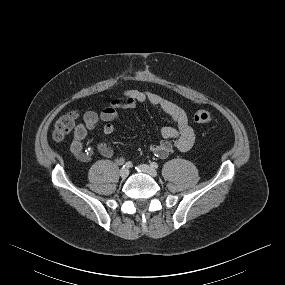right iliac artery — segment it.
<instances>
[{"mask_svg": "<svg viewBox=\"0 0 285 285\" xmlns=\"http://www.w3.org/2000/svg\"><path fill=\"white\" fill-rule=\"evenodd\" d=\"M132 166H133V165H132V162L128 161V162H126V163L123 165V168L129 169V168H131Z\"/></svg>", "mask_w": 285, "mask_h": 285, "instance_id": "obj_1", "label": "right iliac artery"}]
</instances>
